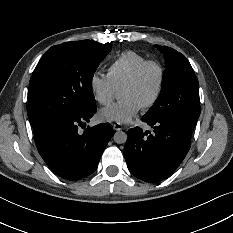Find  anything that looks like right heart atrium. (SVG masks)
<instances>
[{
	"label": "right heart atrium",
	"instance_id": "right-heart-atrium-1",
	"mask_svg": "<svg viewBox=\"0 0 233 233\" xmlns=\"http://www.w3.org/2000/svg\"><path fill=\"white\" fill-rule=\"evenodd\" d=\"M89 86L97 102L102 105H109L116 93V89L106 76L93 73L89 80Z\"/></svg>",
	"mask_w": 233,
	"mask_h": 233
}]
</instances>
